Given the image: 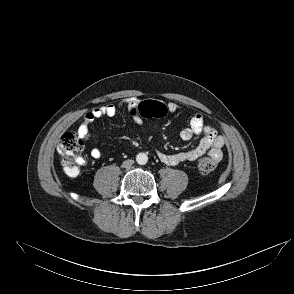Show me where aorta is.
I'll return each mask as SVG.
<instances>
[{"label":"aorta","instance_id":"1","mask_svg":"<svg viewBox=\"0 0 294 294\" xmlns=\"http://www.w3.org/2000/svg\"><path fill=\"white\" fill-rule=\"evenodd\" d=\"M136 161L139 165H145L148 162V156L145 153H138L136 155Z\"/></svg>","mask_w":294,"mask_h":294}]
</instances>
